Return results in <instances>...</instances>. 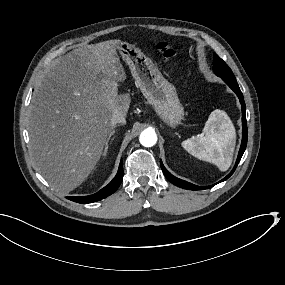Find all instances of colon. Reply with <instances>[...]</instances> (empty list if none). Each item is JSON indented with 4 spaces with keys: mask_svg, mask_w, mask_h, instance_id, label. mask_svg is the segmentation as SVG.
<instances>
[{
    "mask_svg": "<svg viewBox=\"0 0 285 285\" xmlns=\"http://www.w3.org/2000/svg\"><path fill=\"white\" fill-rule=\"evenodd\" d=\"M156 50L165 59H175L177 57V50L168 42L162 41L156 44Z\"/></svg>",
    "mask_w": 285,
    "mask_h": 285,
    "instance_id": "obj_1",
    "label": "colon"
}]
</instances>
